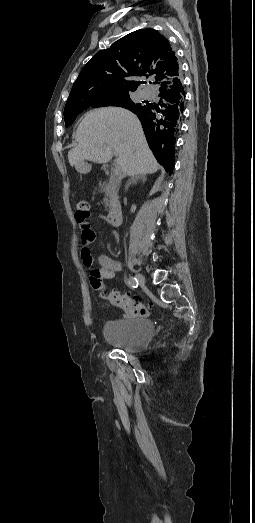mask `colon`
I'll list each match as a JSON object with an SVG mask.
<instances>
[{
    "label": "colon",
    "mask_w": 255,
    "mask_h": 523,
    "mask_svg": "<svg viewBox=\"0 0 255 523\" xmlns=\"http://www.w3.org/2000/svg\"><path fill=\"white\" fill-rule=\"evenodd\" d=\"M89 204L86 201H80L77 203L76 206V221L79 224L86 223L89 218ZM91 284L92 286L98 291L99 295L110 301L113 305H115L118 308L123 309L126 312L140 315V316H146L149 313V309L146 305H144L139 299L132 298L130 296L120 294L116 291H107L104 289L100 282V278L97 276V274L92 273L91 277Z\"/></svg>",
    "instance_id": "colon-1"
}]
</instances>
